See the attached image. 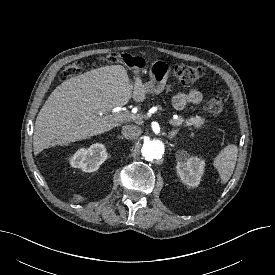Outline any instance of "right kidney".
<instances>
[{"label": "right kidney", "mask_w": 275, "mask_h": 275, "mask_svg": "<svg viewBox=\"0 0 275 275\" xmlns=\"http://www.w3.org/2000/svg\"><path fill=\"white\" fill-rule=\"evenodd\" d=\"M108 153L103 144H93L89 148L79 149L70 159V165L84 172H94L107 159Z\"/></svg>", "instance_id": "1"}]
</instances>
